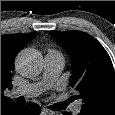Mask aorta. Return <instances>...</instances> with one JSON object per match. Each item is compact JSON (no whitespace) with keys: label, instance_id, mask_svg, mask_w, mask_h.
<instances>
[{"label":"aorta","instance_id":"obj_1","mask_svg":"<svg viewBox=\"0 0 115 115\" xmlns=\"http://www.w3.org/2000/svg\"><path fill=\"white\" fill-rule=\"evenodd\" d=\"M42 64L41 54L34 49H25L16 58V69L18 73L27 78L37 76L42 69Z\"/></svg>","mask_w":115,"mask_h":115}]
</instances>
